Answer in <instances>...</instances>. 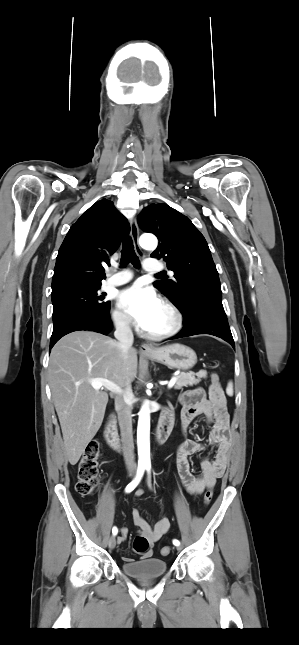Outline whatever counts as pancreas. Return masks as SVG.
I'll return each mask as SVG.
<instances>
[{"label":"pancreas","mask_w":299,"mask_h":645,"mask_svg":"<svg viewBox=\"0 0 299 645\" xmlns=\"http://www.w3.org/2000/svg\"><path fill=\"white\" fill-rule=\"evenodd\" d=\"M177 377L175 383V389H181L182 387H188L198 384L202 378L207 377V372L205 370H200L197 373H181Z\"/></svg>","instance_id":"obj_1"}]
</instances>
